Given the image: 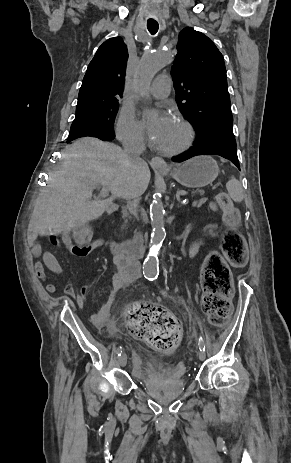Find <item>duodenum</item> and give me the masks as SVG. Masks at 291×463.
<instances>
[{
  "label": "duodenum",
  "instance_id": "1",
  "mask_svg": "<svg viewBox=\"0 0 291 463\" xmlns=\"http://www.w3.org/2000/svg\"><path fill=\"white\" fill-rule=\"evenodd\" d=\"M106 209L110 215H115L119 206L115 203L107 205ZM142 234H136L133 238L125 241H115L110 240V249L114 255H127L135 258H140L142 256Z\"/></svg>",
  "mask_w": 291,
  "mask_h": 463
}]
</instances>
